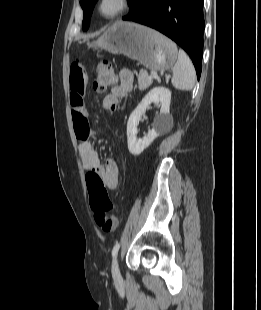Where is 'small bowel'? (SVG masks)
Segmentation results:
<instances>
[{
    "mask_svg": "<svg viewBox=\"0 0 261 310\" xmlns=\"http://www.w3.org/2000/svg\"><path fill=\"white\" fill-rule=\"evenodd\" d=\"M70 103L74 130L80 141L78 149L83 166L88 171L97 172L109 189H115L118 185V167L113 159H108L104 165L101 164L99 154L91 143V138L96 135L89 130L87 112L83 102L86 85V74L83 65L74 61L70 66ZM133 88V76L128 70L120 73L119 83L111 88V91L103 99V107L107 110L116 109L119 100L129 96Z\"/></svg>",
    "mask_w": 261,
    "mask_h": 310,
    "instance_id": "c3829d8e",
    "label": "small bowel"
}]
</instances>
